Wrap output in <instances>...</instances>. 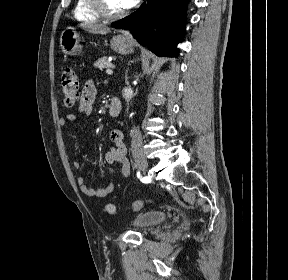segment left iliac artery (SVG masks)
Here are the masks:
<instances>
[{
  "mask_svg": "<svg viewBox=\"0 0 288 280\" xmlns=\"http://www.w3.org/2000/svg\"><path fill=\"white\" fill-rule=\"evenodd\" d=\"M136 179H138L139 181H142L143 180V174H140V172H137Z\"/></svg>",
  "mask_w": 288,
  "mask_h": 280,
  "instance_id": "left-iliac-artery-1",
  "label": "left iliac artery"
}]
</instances>
